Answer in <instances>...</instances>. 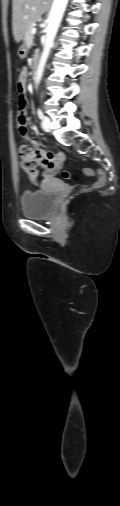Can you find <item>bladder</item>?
Here are the masks:
<instances>
[{"instance_id": "bladder-1", "label": "bladder", "mask_w": 120, "mask_h": 506, "mask_svg": "<svg viewBox=\"0 0 120 506\" xmlns=\"http://www.w3.org/2000/svg\"><path fill=\"white\" fill-rule=\"evenodd\" d=\"M56 193L50 190H34L22 193L21 212L27 218H43L51 214L56 201Z\"/></svg>"}]
</instances>
